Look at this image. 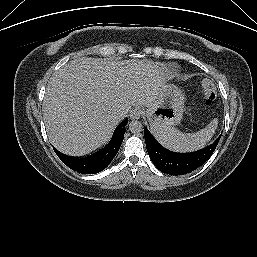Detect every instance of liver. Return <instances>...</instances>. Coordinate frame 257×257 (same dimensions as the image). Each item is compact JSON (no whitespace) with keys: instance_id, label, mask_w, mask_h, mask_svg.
<instances>
[{"instance_id":"1","label":"liver","mask_w":257,"mask_h":257,"mask_svg":"<svg viewBox=\"0 0 257 257\" xmlns=\"http://www.w3.org/2000/svg\"><path fill=\"white\" fill-rule=\"evenodd\" d=\"M165 83L164 68L150 60H71L46 88L43 118L50 142L67 155L89 154L109 141L119 111L151 106Z\"/></svg>"}]
</instances>
